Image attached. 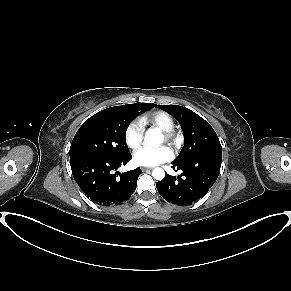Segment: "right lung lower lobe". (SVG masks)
Here are the masks:
<instances>
[{
	"label": "right lung lower lobe",
	"instance_id": "1",
	"mask_svg": "<svg viewBox=\"0 0 291 291\" xmlns=\"http://www.w3.org/2000/svg\"><path fill=\"white\" fill-rule=\"evenodd\" d=\"M132 159L131 154L109 157H83L71 160L73 177L92 201L102 206L119 205L128 200L136 189L140 168L114 174ZM118 174L119 176H116Z\"/></svg>",
	"mask_w": 291,
	"mask_h": 291
}]
</instances>
